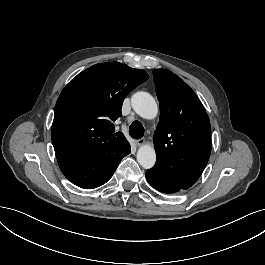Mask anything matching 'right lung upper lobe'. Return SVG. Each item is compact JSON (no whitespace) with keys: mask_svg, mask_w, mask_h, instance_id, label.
<instances>
[{"mask_svg":"<svg viewBox=\"0 0 265 265\" xmlns=\"http://www.w3.org/2000/svg\"><path fill=\"white\" fill-rule=\"evenodd\" d=\"M141 69L119 62L99 63L74 77L62 90L54 112L52 143L59 151H100L126 142L112 124L124 98L148 79Z\"/></svg>","mask_w":265,"mask_h":265,"instance_id":"right-lung-upper-lobe-1","label":"right lung upper lobe"}]
</instances>
